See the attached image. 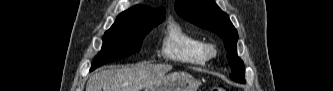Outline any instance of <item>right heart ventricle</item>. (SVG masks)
I'll return each mask as SVG.
<instances>
[{
	"mask_svg": "<svg viewBox=\"0 0 333 91\" xmlns=\"http://www.w3.org/2000/svg\"><path fill=\"white\" fill-rule=\"evenodd\" d=\"M205 41L185 30L179 23L170 22L162 41L163 55L173 61L193 66H203L207 62Z\"/></svg>",
	"mask_w": 333,
	"mask_h": 91,
	"instance_id": "obj_1",
	"label": "right heart ventricle"
}]
</instances>
